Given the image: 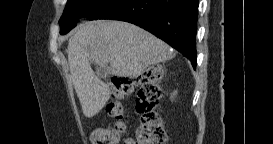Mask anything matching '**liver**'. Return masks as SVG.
<instances>
[{
  "instance_id": "liver-1",
  "label": "liver",
  "mask_w": 273,
  "mask_h": 144,
  "mask_svg": "<svg viewBox=\"0 0 273 144\" xmlns=\"http://www.w3.org/2000/svg\"><path fill=\"white\" fill-rule=\"evenodd\" d=\"M70 78L83 114L95 116L109 100V85L91 68L93 61L113 75L136 78L151 65L174 57L169 45L144 29L123 21H92L79 25L68 41Z\"/></svg>"
}]
</instances>
